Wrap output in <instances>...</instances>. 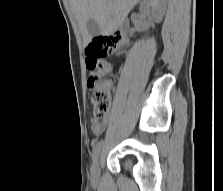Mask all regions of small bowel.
<instances>
[{
	"label": "small bowel",
	"instance_id": "obj_1",
	"mask_svg": "<svg viewBox=\"0 0 223 191\" xmlns=\"http://www.w3.org/2000/svg\"><path fill=\"white\" fill-rule=\"evenodd\" d=\"M110 84L107 83V88H109ZM108 124L107 119H102L101 121L92 119L91 122V130L96 136H100L104 133Z\"/></svg>",
	"mask_w": 223,
	"mask_h": 191
}]
</instances>
